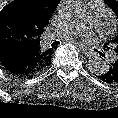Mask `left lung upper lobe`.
Segmentation results:
<instances>
[{
	"instance_id": "1",
	"label": "left lung upper lobe",
	"mask_w": 118,
	"mask_h": 118,
	"mask_svg": "<svg viewBox=\"0 0 118 118\" xmlns=\"http://www.w3.org/2000/svg\"><path fill=\"white\" fill-rule=\"evenodd\" d=\"M105 3L112 8V10L117 14V18H118V1L116 0H105ZM113 46L112 47H109L108 46V43L105 45L107 49H111L113 48V50L115 51L116 53V56H117V60L115 61V63L118 64V36L116 39H114L113 41Z\"/></svg>"
}]
</instances>
